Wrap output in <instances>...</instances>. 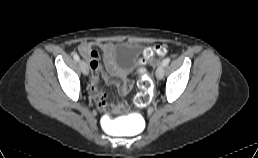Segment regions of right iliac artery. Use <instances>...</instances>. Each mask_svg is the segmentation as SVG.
Here are the masks:
<instances>
[{"label":"right iliac artery","instance_id":"82829eb1","mask_svg":"<svg viewBox=\"0 0 258 158\" xmlns=\"http://www.w3.org/2000/svg\"><path fill=\"white\" fill-rule=\"evenodd\" d=\"M73 58H74V60L75 61H80V58H79V56H78V54L77 53H73Z\"/></svg>","mask_w":258,"mask_h":158}]
</instances>
